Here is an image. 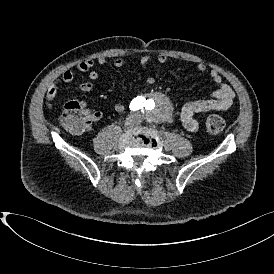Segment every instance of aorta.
<instances>
[{
    "instance_id": "obj_1",
    "label": "aorta",
    "mask_w": 274,
    "mask_h": 274,
    "mask_svg": "<svg viewBox=\"0 0 274 274\" xmlns=\"http://www.w3.org/2000/svg\"><path fill=\"white\" fill-rule=\"evenodd\" d=\"M148 96L153 104L148 115L150 120H165L172 114L173 107L167 96L161 92H151Z\"/></svg>"
}]
</instances>
